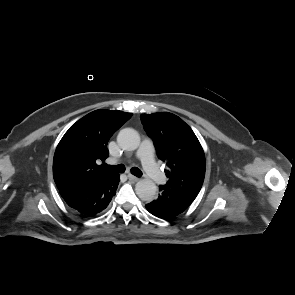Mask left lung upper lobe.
Segmentation results:
<instances>
[{
	"label": "left lung upper lobe",
	"mask_w": 295,
	"mask_h": 295,
	"mask_svg": "<svg viewBox=\"0 0 295 295\" xmlns=\"http://www.w3.org/2000/svg\"><path fill=\"white\" fill-rule=\"evenodd\" d=\"M140 118L168 167L164 187L197 196L205 177V155L192 129L172 113L142 114Z\"/></svg>",
	"instance_id": "obj_1"
}]
</instances>
